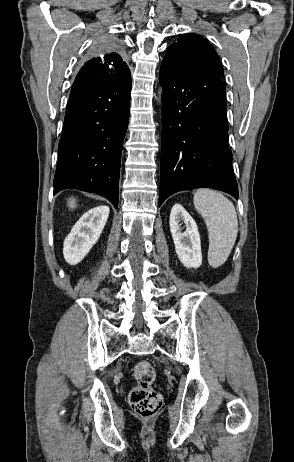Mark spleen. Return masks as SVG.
I'll use <instances>...</instances> for the list:
<instances>
[{"mask_svg":"<svg viewBox=\"0 0 294 462\" xmlns=\"http://www.w3.org/2000/svg\"><path fill=\"white\" fill-rule=\"evenodd\" d=\"M193 200L208 228L209 264L219 267L227 260L237 238L238 220L235 207L221 193L210 189L197 190Z\"/></svg>","mask_w":294,"mask_h":462,"instance_id":"3e777b00","label":"spleen"}]
</instances>
